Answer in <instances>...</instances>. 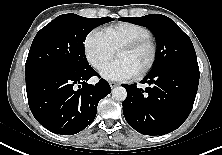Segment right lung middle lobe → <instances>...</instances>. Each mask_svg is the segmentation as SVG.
<instances>
[{"instance_id":"obj_1","label":"right lung middle lobe","mask_w":222,"mask_h":155,"mask_svg":"<svg viewBox=\"0 0 222 155\" xmlns=\"http://www.w3.org/2000/svg\"><path fill=\"white\" fill-rule=\"evenodd\" d=\"M113 20L76 14L56 17L36 34L32 42L25 64L26 83L47 73H73L88 67L83 44L86 36L95 27Z\"/></svg>"}]
</instances>
